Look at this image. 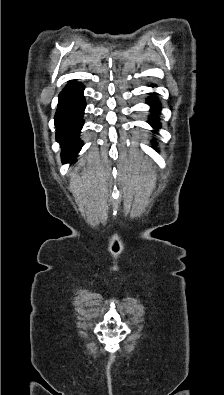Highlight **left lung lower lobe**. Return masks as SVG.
<instances>
[{
  "instance_id": "1",
  "label": "left lung lower lobe",
  "mask_w": 224,
  "mask_h": 395,
  "mask_svg": "<svg viewBox=\"0 0 224 395\" xmlns=\"http://www.w3.org/2000/svg\"><path fill=\"white\" fill-rule=\"evenodd\" d=\"M149 105L152 106L153 108V113H158L160 105L159 103L155 100V98H151L148 102ZM149 123L155 127V128H159L160 124L158 121V118L156 116L151 117V119L149 120Z\"/></svg>"
}]
</instances>
